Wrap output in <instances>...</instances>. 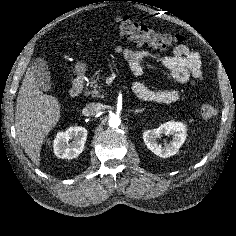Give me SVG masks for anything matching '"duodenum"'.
Returning <instances> with one entry per match:
<instances>
[{"mask_svg": "<svg viewBox=\"0 0 236 236\" xmlns=\"http://www.w3.org/2000/svg\"><path fill=\"white\" fill-rule=\"evenodd\" d=\"M84 89V80L82 78L76 79L72 86L70 87L69 94L71 97L76 98L79 97Z\"/></svg>", "mask_w": 236, "mask_h": 236, "instance_id": "410a0bca", "label": "duodenum"}]
</instances>
